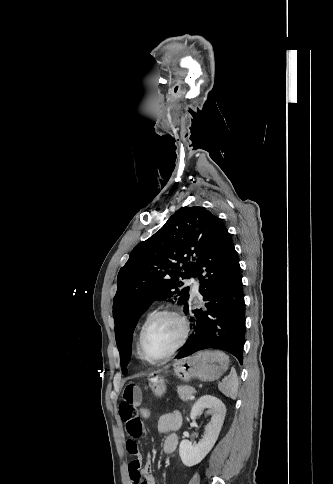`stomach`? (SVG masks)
<instances>
[{
    "instance_id": "obj_1",
    "label": "stomach",
    "mask_w": 333,
    "mask_h": 484,
    "mask_svg": "<svg viewBox=\"0 0 333 484\" xmlns=\"http://www.w3.org/2000/svg\"><path fill=\"white\" fill-rule=\"evenodd\" d=\"M228 364L229 358L226 354L208 350L176 360L173 364V371L182 382H189L192 379L214 381L228 369ZM149 385L156 396H162L166 390L165 372L150 373Z\"/></svg>"
}]
</instances>
